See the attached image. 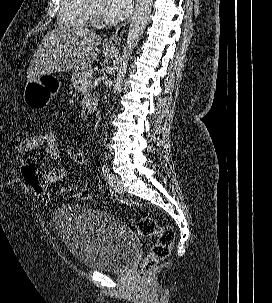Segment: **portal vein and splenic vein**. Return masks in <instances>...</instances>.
Instances as JSON below:
<instances>
[{
    "mask_svg": "<svg viewBox=\"0 0 272 303\" xmlns=\"http://www.w3.org/2000/svg\"><path fill=\"white\" fill-rule=\"evenodd\" d=\"M92 81H91V76L90 75H87L86 77H84L81 81V85L83 87H87L89 85H91Z\"/></svg>",
    "mask_w": 272,
    "mask_h": 303,
    "instance_id": "portal-vein-and-splenic-vein-1",
    "label": "portal vein and splenic vein"
}]
</instances>
